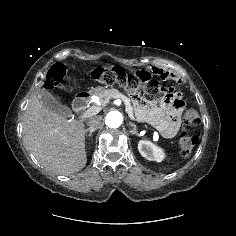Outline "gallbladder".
Instances as JSON below:
<instances>
[{"label":"gallbladder","mask_w":236,"mask_h":236,"mask_svg":"<svg viewBox=\"0 0 236 236\" xmlns=\"http://www.w3.org/2000/svg\"><path fill=\"white\" fill-rule=\"evenodd\" d=\"M39 100L43 103L44 107L57 113L60 116H68L71 113V109L65 105L60 104L52 95L45 89H39L36 91Z\"/></svg>","instance_id":"obj_1"}]
</instances>
